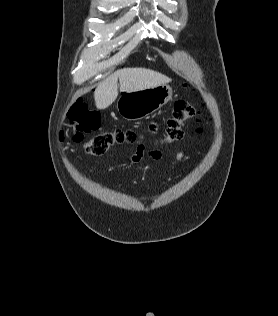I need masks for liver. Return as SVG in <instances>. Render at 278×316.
<instances>
[{"mask_svg":"<svg viewBox=\"0 0 278 316\" xmlns=\"http://www.w3.org/2000/svg\"><path fill=\"white\" fill-rule=\"evenodd\" d=\"M118 79L121 92H135L170 82V78L145 68H127L114 72L100 83L95 92V105L98 109L110 106L118 96Z\"/></svg>","mask_w":278,"mask_h":316,"instance_id":"liver-1","label":"liver"}]
</instances>
